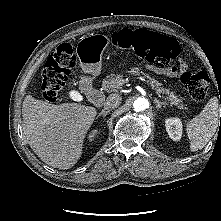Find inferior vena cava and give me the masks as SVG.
<instances>
[{
	"mask_svg": "<svg viewBox=\"0 0 221 221\" xmlns=\"http://www.w3.org/2000/svg\"><path fill=\"white\" fill-rule=\"evenodd\" d=\"M122 103V97L118 94H113L109 96L104 103V111H111L112 109L117 108Z\"/></svg>",
	"mask_w": 221,
	"mask_h": 221,
	"instance_id": "602c4592",
	"label": "inferior vena cava"
}]
</instances>
